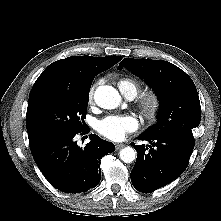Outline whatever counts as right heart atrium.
Masks as SVG:
<instances>
[{"instance_id": "d8ad5b80", "label": "right heart atrium", "mask_w": 221, "mask_h": 221, "mask_svg": "<svg viewBox=\"0 0 221 221\" xmlns=\"http://www.w3.org/2000/svg\"><path fill=\"white\" fill-rule=\"evenodd\" d=\"M94 89H95V86H92L91 89L89 90V93H88V101H89L90 103H91L92 100H93Z\"/></svg>"}]
</instances>
